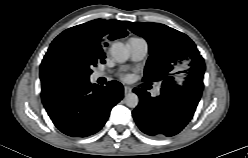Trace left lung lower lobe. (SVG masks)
<instances>
[{
    "instance_id": "0a47b994",
    "label": "left lung lower lobe",
    "mask_w": 248,
    "mask_h": 158,
    "mask_svg": "<svg viewBox=\"0 0 248 158\" xmlns=\"http://www.w3.org/2000/svg\"><path fill=\"white\" fill-rule=\"evenodd\" d=\"M140 98L132 112L140 130L150 136H173L191 120L201 97L200 92L187 89L161 91L151 97L141 88L133 90Z\"/></svg>"
}]
</instances>
